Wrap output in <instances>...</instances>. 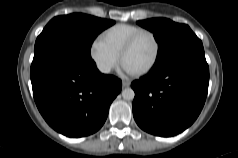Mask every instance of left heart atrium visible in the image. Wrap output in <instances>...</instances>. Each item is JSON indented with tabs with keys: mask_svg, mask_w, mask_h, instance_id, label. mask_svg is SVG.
I'll use <instances>...</instances> for the list:
<instances>
[{
	"mask_svg": "<svg viewBox=\"0 0 238 158\" xmlns=\"http://www.w3.org/2000/svg\"><path fill=\"white\" fill-rule=\"evenodd\" d=\"M123 69H124L127 73H134L133 70H131L130 68H128V67L125 66L124 64H123Z\"/></svg>",
	"mask_w": 238,
	"mask_h": 158,
	"instance_id": "left-heart-atrium-1",
	"label": "left heart atrium"
}]
</instances>
